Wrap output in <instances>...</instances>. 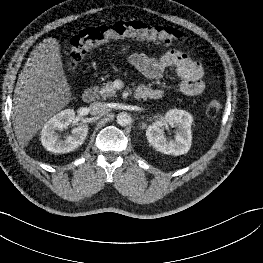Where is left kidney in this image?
<instances>
[{"label": "left kidney", "mask_w": 263, "mask_h": 263, "mask_svg": "<svg viewBox=\"0 0 263 263\" xmlns=\"http://www.w3.org/2000/svg\"><path fill=\"white\" fill-rule=\"evenodd\" d=\"M166 122L176 127L174 140H167L163 129L159 124H152L146 130L148 142L159 152L168 155H183L187 153L191 147L192 134L191 124L193 118L190 113L172 109L165 115Z\"/></svg>", "instance_id": "obj_1"}]
</instances>
